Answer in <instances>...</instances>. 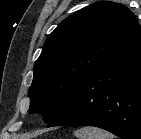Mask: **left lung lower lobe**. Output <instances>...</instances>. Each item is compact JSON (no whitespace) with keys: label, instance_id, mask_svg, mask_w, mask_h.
Instances as JSON below:
<instances>
[{"label":"left lung lower lobe","instance_id":"obj_1","mask_svg":"<svg viewBox=\"0 0 141 139\" xmlns=\"http://www.w3.org/2000/svg\"><path fill=\"white\" fill-rule=\"evenodd\" d=\"M69 125L141 139V32L86 78L48 127Z\"/></svg>","mask_w":141,"mask_h":139}]
</instances>
